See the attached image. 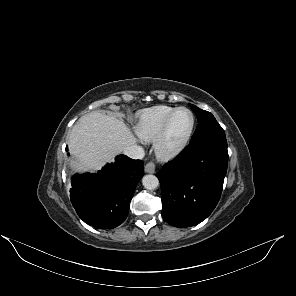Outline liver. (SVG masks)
<instances>
[{
	"label": "liver",
	"instance_id": "obj_1",
	"mask_svg": "<svg viewBox=\"0 0 296 296\" xmlns=\"http://www.w3.org/2000/svg\"><path fill=\"white\" fill-rule=\"evenodd\" d=\"M69 150L75 171L97 172L116 154L136 143L123 121L100 112L82 116L69 134Z\"/></svg>",
	"mask_w": 296,
	"mask_h": 296
}]
</instances>
